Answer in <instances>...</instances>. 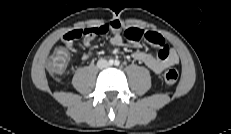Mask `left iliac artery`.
Segmentation results:
<instances>
[{
	"label": "left iliac artery",
	"mask_w": 231,
	"mask_h": 134,
	"mask_svg": "<svg viewBox=\"0 0 231 134\" xmlns=\"http://www.w3.org/2000/svg\"><path fill=\"white\" fill-rule=\"evenodd\" d=\"M114 64H115L116 66H119V64H120L119 60H116V61L114 62Z\"/></svg>",
	"instance_id": "obj_1"
}]
</instances>
